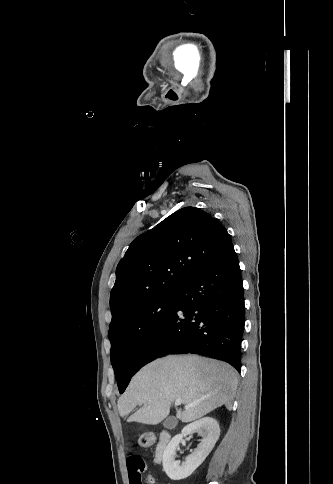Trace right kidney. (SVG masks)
Listing matches in <instances>:
<instances>
[{
  "label": "right kidney",
  "mask_w": 333,
  "mask_h": 484,
  "mask_svg": "<svg viewBox=\"0 0 333 484\" xmlns=\"http://www.w3.org/2000/svg\"><path fill=\"white\" fill-rule=\"evenodd\" d=\"M198 432L202 436L201 442L186 460L180 465L175 460V452L183 437ZM220 436L218 422L205 417L197 420L182 430V433L173 437L163 453V470L171 480H182L189 477L206 459L212 451Z\"/></svg>",
  "instance_id": "right-kidney-1"
}]
</instances>
